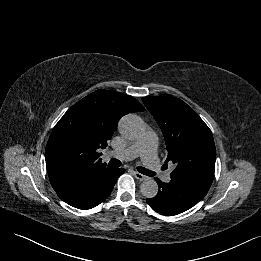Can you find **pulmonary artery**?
<instances>
[{
  "mask_svg": "<svg viewBox=\"0 0 261 261\" xmlns=\"http://www.w3.org/2000/svg\"><path fill=\"white\" fill-rule=\"evenodd\" d=\"M156 150L157 137L155 133L146 132L128 148L119 152L110 153L109 156H113L121 160H132L140 156L147 168L152 171L158 172L160 170V162ZM162 180L166 183L170 182V173H164L162 175Z\"/></svg>",
  "mask_w": 261,
  "mask_h": 261,
  "instance_id": "pulmonary-artery-1",
  "label": "pulmonary artery"
}]
</instances>
